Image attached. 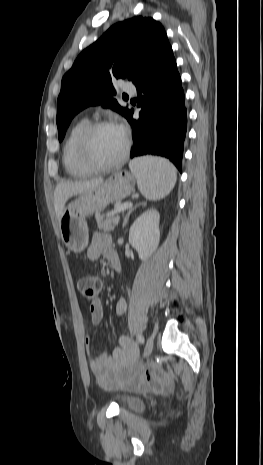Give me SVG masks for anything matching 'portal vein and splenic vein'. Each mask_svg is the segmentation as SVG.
Instances as JSON below:
<instances>
[{
  "mask_svg": "<svg viewBox=\"0 0 263 465\" xmlns=\"http://www.w3.org/2000/svg\"><path fill=\"white\" fill-rule=\"evenodd\" d=\"M132 205H133L132 203H124V204L120 205V206H119L116 210H114L113 212L108 213L107 216H112V215H115V214H117V213H119V212H122V211H124V210H127V209L131 208Z\"/></svg>",
  "mask_w": 263,
  "mask_h": 465,
  "instance_id": "obj_1",
  "label": "portal vein and splenic vein"
}]
</instances>
